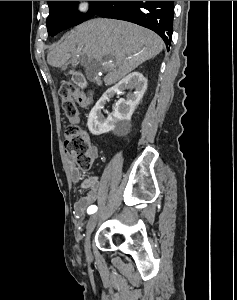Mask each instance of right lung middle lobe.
<instances>
[{"label":"right lung middle lobe","instance_id":"1","mask_svg":"<svg viewBox=\"0 0 237 300\" xmlns=\"http://www.w3.org/2000/svg\"><path fill=\"white\" fill-rule=\"evenodd\" d=\"M104 2L93 1V7L88 13L82 14L77 10L75 1H47L50 9V14L46 20L48 35L54 36L91 18Z\"/></svg>","mask_w":237,"mask_h":300}]
</instances>
